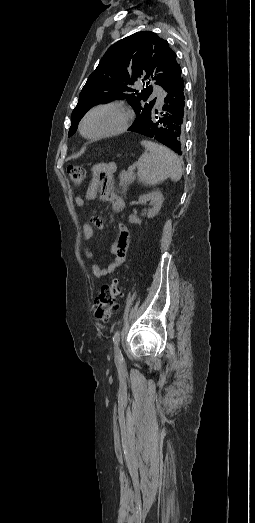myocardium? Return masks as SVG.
<instances>
[{
  "label": "myocardium",
  "mask_w": 255,
  "mask_h": 523,
  "mask_svg": "<svg viewBox=\"0 0 255 523\" xmlns=\"http://www.w3.org/2000/svg\"><path fill=\"white\" fill-rule=\"evenodd\" d=\"M98 110H111V111L118 113L123 119L122 124L117 129L110 131V132H106V133L99 134V135H87L84 132L85 122L92 113H94ZM134 119H135V112L133 109H131L128 106H125L122 104H115V103L98 104V105L91 107L82 116L80 123H79V132L82 135V137H84L87 140L98 141V140L108 139V138L119 136V135L127 132L129 130V128L131 127Z\"/></svg>",
  "instance_id": "obj_1"
}]
</instances>
